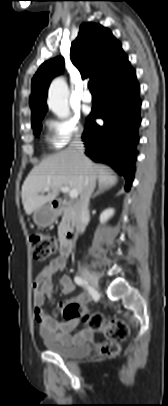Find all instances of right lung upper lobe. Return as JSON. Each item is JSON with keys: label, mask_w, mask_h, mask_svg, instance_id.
I'll return each instance as SVG.
<instances>
[{"label": "right lung upper lobe", "mask_w": 168, "mask_h": 406, "mask_svg": "<svg viewBox=\"0 0 168 406\" xmlns=\"http://www.w3.org/2000/svg\"><path fill=\"white\" fill-rule=\"evenodd\" d=\"M70 57L82 78L90 77L96 88L130 65L121 44L111 31L100 24L84 23L72 42ZM64 68L62 57L44 62L32 79L30 106L32 124L42 120L47 111L46 97L50 81Z\"/></svg>", "instance_id": "right-lung-upper-lobe-1"}]
</instances>
